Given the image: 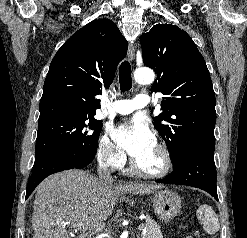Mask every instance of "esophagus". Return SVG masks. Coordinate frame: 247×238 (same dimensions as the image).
I'll return each instance as SVG.
<instances>
[{
    "label": "esophagus",
    "mask_w": 247,
    "mask_h": 238,
    "mask_svg": "<svg viewBox=\"0 0 247 238\" xmlns=\"http://www.w3.org/2000/svg\"><path fill=\"white\" fill-rule=\"evenodd\" d=\"M128 57H129V60L132 62L135 59V46L132 43H130L128 46Z\"/></svg>",
    "instance_id": "esophagus-1"
}]
</instances>
